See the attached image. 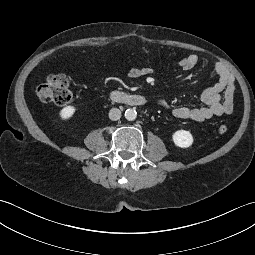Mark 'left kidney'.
Listing matches in <instances>:
<instances>
[{"label":"left kidney","instance_id":"5707ae66","mask_svg":"<svg viewBox=\"0 0 255 255\" xmlns=\"http://www.w3.org/2000/svg\"><path fill=\"white\" fill-rule=\"evenodd\" d=\"M173 142L180 148H188L193 144V136L189 131L178 130L172 136Z\"/></svg>","mask_w":255,"mask_h":255}]
</instances>
